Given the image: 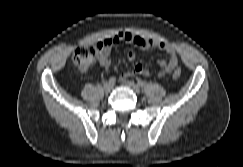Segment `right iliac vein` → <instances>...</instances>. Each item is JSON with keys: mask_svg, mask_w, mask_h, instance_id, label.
Listing matches in <instances>:
<instances>
[{"mask_svg": "<svg viewBox=\"0 0 243 167\" xmlns=\"http://www.w3.org/2000/svg\"><path fill=\"white\" fill-rule=\"evenodd\" d=\"M103 89L106 93H109L113 89V85L107 82L104 84Z\"/></svg>", "mask_w": 243, "mask_h": 167, "instance_id": "right-iliac-vein-1", "label": "right iliac vein"}]
</instances>
